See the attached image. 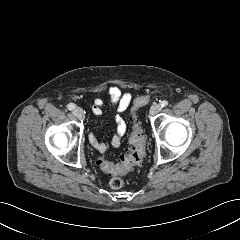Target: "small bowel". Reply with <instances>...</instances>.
<instances>
[{
  "label": "small bowel",
  "mask_w": 240,
  "mask_h": 240,
  "mask_svg": "<svg viewBox=\"0 0 240 240\" xmlns=\"http://www.w3.org/2000/svg\"><path fill=\"white\" fill-rule=\"evenodd\" d=\"M111 104L115 107L117 115L115 116V131L109 143L101 142L98 137L91 133L89 135V142L91 145L101 153H105L110 147H119L122 143L123 136L127 131V124L120 115L129 107L132 96L128 92H124L120 87L111 85L108 89ZM104 101L96 98L93 101L92 111L95 116H101L103 113Z\"/></svg>",
  "instance_id": "obj_1"
}]
</instances>
